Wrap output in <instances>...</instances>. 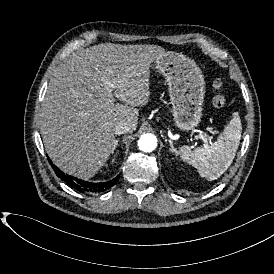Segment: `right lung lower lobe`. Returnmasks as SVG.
<instances>
[{"instance_id": "98d812e1", "label": "right lung lower lobe", "mask_w": 274, "mask_h": 274, "mask_svg": "<svg viewBox=\"0 0 274 274\" xmlns=\"http://www.w3.org/2000/svg\"><path fill=\"white\" fill-rule=\"evenodd\" d=\"M49 163L54 168L56 175L61 178L63 181H65L67 184H69L74 189L80 191V192H104L105 190L112 187L117 180L119 179V176L115 177L113 180L104 182V183H91L87 181L80 180L78 178L69 176L67 174H64L61 170H59L55 165L52 164L51 160L48 158Z\"/></svg>"}]
</instances>
